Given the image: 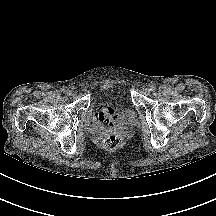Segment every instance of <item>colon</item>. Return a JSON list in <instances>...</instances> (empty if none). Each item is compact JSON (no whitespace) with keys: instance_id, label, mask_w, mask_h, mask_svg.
I'll return each instance as SVG.
<instances>
[{"instance_id":"5ec220e1","label":"colon","mask_w":216,"mask_h":216,"mask_svg":"<svg viewBox=\"0 0 216 216\" xmlns=\"http://www.w3.org/2000/svg\"><path fill=\"white\" fill-rule=\"evenodd\" d=\"M122 143H123V137L118 133L108 134L103 139V145L108 150H116L122 145Z\"/></svg>"}]
</instances>
